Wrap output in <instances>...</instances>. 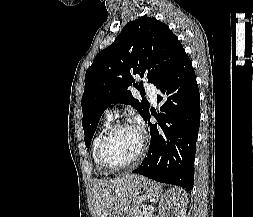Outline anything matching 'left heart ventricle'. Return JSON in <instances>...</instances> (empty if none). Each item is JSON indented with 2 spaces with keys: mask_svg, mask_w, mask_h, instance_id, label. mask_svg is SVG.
Wrapping results in <instances>:
<instances>
[{
  "mask_svg": "<svg viewBox=\"0 0 253 217\" xmlns=\"http://www.w3.org/2000/svg\"><path fill=\"white\" fill-rule=\"evenodd\" d=\"M141 136L134 127H125L115 131L104 147V159L112 166L129 163L139 152Z\"/></svg>",
  "mask_w": 253,
  "mask_h": 217,
  "instance_id": "b2bd125f",
  "label": "left heart ventricle"
}]
</instances>
